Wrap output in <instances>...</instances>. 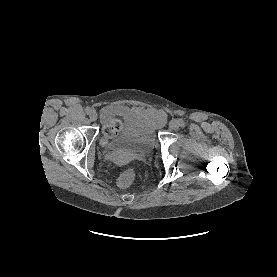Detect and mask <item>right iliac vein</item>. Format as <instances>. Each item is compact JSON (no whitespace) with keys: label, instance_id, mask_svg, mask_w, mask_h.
Segmentation results:
<instances>
[{"label":"right iliac vein","instance_id":"1","mask_svg":"<svg viewBox=\"0 0 277 277\" xmlns=\"http://www.w3.org/2000/svg\"><path fill=\"white\" fill-rule=\"evenodd\" d=\"M91 121H96L97 120V113L95 111H92L89 115Z\"/></svg>","mask_w":277,"mask_h":277}]
</instances>
